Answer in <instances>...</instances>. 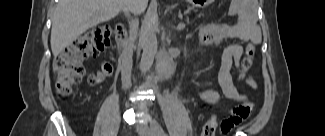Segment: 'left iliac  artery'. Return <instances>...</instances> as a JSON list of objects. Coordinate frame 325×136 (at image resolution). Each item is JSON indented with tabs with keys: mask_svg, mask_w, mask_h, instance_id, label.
<instances>
[{
	"mask_svg": "<svg viewBox=\"0 0 325 136\" xmlns=\"http://www.w3.org/2000/svg\"><path fill=\"white\" fill-rule=\"evenodd\" d=\"M152 123L157 125L158 136H167L162 127L156 121H153Z\"/></svg>",
	"mask_w": 325,
	"mask_h": 136,
	"instance_id": "obj_1",
	"label": "left iliac artery"
}]
</instances>
